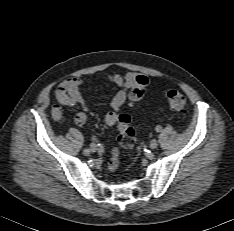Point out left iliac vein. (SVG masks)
Listing matches in <instances>:
<instances>
[{"label": "left iliac vein", "instance_id": "1", "mask_svg": "<svg viewBox=\"0 0 234 231\" xmlns=\"http://www.w3.org/2000/svg\"><path fill=\"white\" fill-rule=\"evenodd\" d=\"M151 149H156L158 146V141L156 139H152L149 144Z\"/></svg>", "mask_w": 234, "mask_h": 231}]
</instances>
